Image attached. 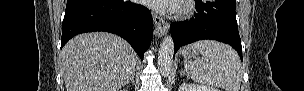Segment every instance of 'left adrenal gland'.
Returning <instances> with one entry per match:
<instances>
[{"label":"left adrenal gland","instance_id":"a2214340","mask_svg":"<svg viewBox=\"0 0 304 91\" xmlns=\"http://www.w3.org/2000/svg\"><path fill=\"white\" fill-rule=\"evenodd\" d=\"M185 75V72L184 71H182L181 72V77H183Z\"/></svg>","mask_w":304,"mask_h":91}]
</instances>
